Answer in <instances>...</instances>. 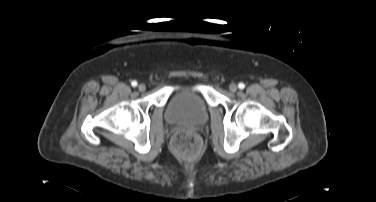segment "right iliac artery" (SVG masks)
<instances>
[{
	"label": "right iliac artery",
	"instance_id": "82829eb1",
	"mask_svg": "<svg viewBox=\"0 0 376 202\" xmlns=\"http://www.w3.org/2000/svg\"><path fill=\"white\" fill-rule=\"evenodd\" d=\"M131 85H132L133 87H136V86H137V81H135V80L132 81V82H131Z\"/></svg>",
	"mask_w": 376,
	"mask_h": 202
}]
</instances>
